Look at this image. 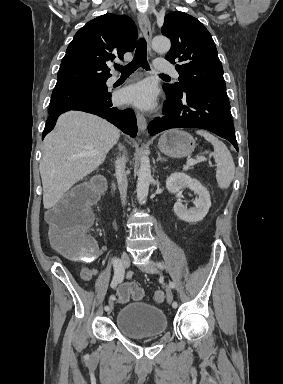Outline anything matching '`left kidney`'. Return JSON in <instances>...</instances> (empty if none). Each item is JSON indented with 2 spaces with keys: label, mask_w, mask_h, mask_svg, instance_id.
<instances>
[{
  "label": "left kidney",
  "mask_w": 283,
  "mask_h": 384,
  "mask_svg": "<svg viewBox=\"0 0 283 384\" xmlns=\"http://www.w3.org/2000/svg\"><path fill=\"white\" fill-rule=\"evenodd\" d=\"M166 188L171 194H177V192H180L183 188H189V190H193L198 196L197 200L193 202L196 208L187 210L182 202H176V204H174V212L180 220H184V222H200V220H203L206 214H208L209 208H211L210 194L198 180L190 178L187 174L175 172V174H171V176L167 178Z\"/></svg>",
  "instance_id": "5707ae66"
}]
</instances>
